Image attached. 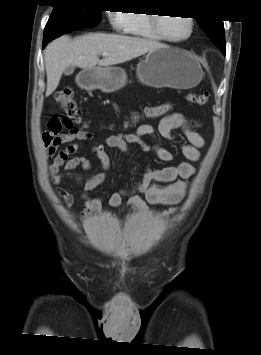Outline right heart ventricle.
<instances>
[{"mask_svg":"<svg viewBox=\"0 0 261 355\" xmlns=\"http://www.w3.org/2000/svg\"><path fill=\"white\" fill-rule=\"evenodd\" d=\"M151 15L153 14L139 11L129 13V25L126 32L135 37L159 40L152 28Z\"/></svg>","mask_w":261,"mask_h":355,"instance_id":"1","label":"right heart ventricle"}]
</instances>
